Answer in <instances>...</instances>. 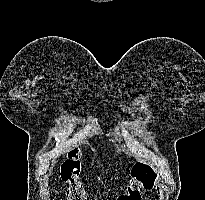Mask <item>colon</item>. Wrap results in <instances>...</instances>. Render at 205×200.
I'll list each match as a JSON object with an SVG mask.
<instances>
[{
	"mask_svg": "<svg viewBox=\"0 0 205 200\" xmlns=\"http://www.w3.org/2000/svg\"><path fill=\"white\" fill-rule=\"evenodd\" d=\"M81 162L80 153L72 150L61 165V179L68 184V200H87L86 190L80 181ZM157 175L148 165L135 164L131 169L127 190L116 200H141L142 191L152 189L155 186Z\"/></svg>",
	"mask_w": 205,
	"mask_h": 200,
	"instance_id": "1",
	"label": "colon"
}]
</instances>
